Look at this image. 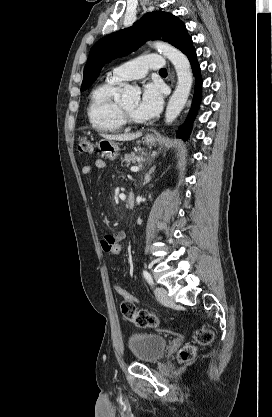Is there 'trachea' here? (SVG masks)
Listing matches in <instances>:
<instances>
[{
    "label": "trachea",
    "instance_id": "trachea-1",
    "mask_svg": "<svg viewBox=\"0 0 272 417\" xmlns=\"http://www.w3.org/2000/svg\"><path fill=\"white\" fill-rule=\"evenodd\" d=\"M159 73H167V70L165 68H163L159 71Z\"/></svg>",
    "mask_w": 272,
    "mask_h": 417
}]
</instances>
